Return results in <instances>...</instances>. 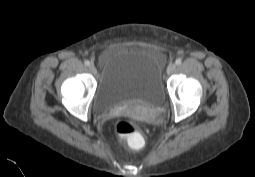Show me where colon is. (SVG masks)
Masks as SVG:
<instances>
[{
    "instance_id": "5ec220e1",
    "label": "colon",
    "mask_w": 255,
    "mask_h": 177,
    "mask_svg": "<svg viewBox=\"0 0 255 177\" xmlns=\"http://www.w3.org/2000/svg\"><path fill=\"white\" fill-rule=\"evenodd\" d=\"M114 131L118 136L126 139L133 149L138 150L142 147L143 138L134 123L127 120H120L115 123Z\"/></svg>"
}]
</instances>
